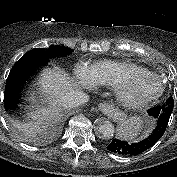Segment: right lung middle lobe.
<instances>
[{"mask_svg": "<svg viewBox=\"0 0 177 177\" xmlns=\"http://www.w3.org/2000/svg\"><path fill=\"white\" fill-rule=\"evenodd\" d=\"M73 52L72 49L64 46H50L49 48H35L31 51H28L27 55H37V56H46V57H53V56H66Z\"/></svg>", "mask_w": 177, "mask_h": 177, "instance_id": "right-lung-middle-lobe-1", "label": "right lung middle lobe"}]
</instances>
